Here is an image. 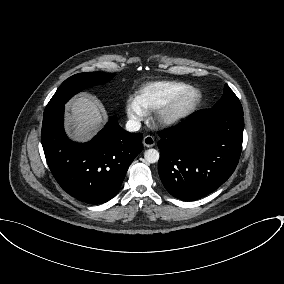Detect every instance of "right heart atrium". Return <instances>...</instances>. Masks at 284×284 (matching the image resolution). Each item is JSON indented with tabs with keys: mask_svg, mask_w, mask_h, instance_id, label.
<instances>
[{
	"mask_svg": "<svg viewBox=\"0 0 284 284\" xmlns=\"http://www.w3.org/2000/svg\"><path fill=\"white\" fill-rule=\"evenodd\" d=\"M125 113L132 125H137L146 115V112L142 109L135 98H129L126 101Z\"/></svg>",
	"mask_w": 284,
	"mask_h": 284,
	"instance_id": "right-heart-atrium-1",
	"label": "right heart atrium"
}]
</instances>
